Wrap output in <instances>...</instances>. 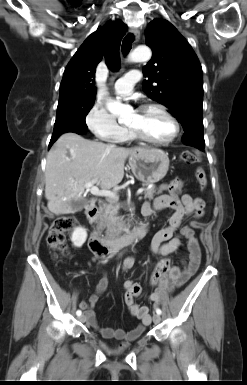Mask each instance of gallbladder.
Wrapping results in <instances>:
<instances>
[{"instance_id": "gallbladder-1", "label": "gallbladder", "mask_w": 247, "mask_h": 385, "mask_svg": "<svg viewBox=\"0 0 247 385\" xmlns=\"http://www.w3.org/2000/svg\"><path fill=\"white\" fill-rule=\"evenodd\" d=\"M85 204H87L86 200H81V201H73L71 203V210L72 211H77L78 209L82 208Z\"/></svg>"}]
</instances>
